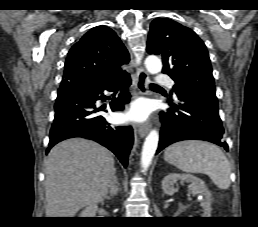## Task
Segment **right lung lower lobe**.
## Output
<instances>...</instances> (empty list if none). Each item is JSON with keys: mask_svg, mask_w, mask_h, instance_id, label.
Listing matches in <instances>:
<instances>
[{"mask_svg": "<svg viewBox=\"0 0 258 227\" xmlns=\"http://www.w3.org/2000/svg\"><path fill=\"white\" fill-rule=\"evenodd\" d=\"M130 84V76L124 72L109 81L86 80L59 90L47 152L62 140L83 137L107 147L126 167L133 144V130L129 126L111 127L103 116L97 114L100 109L95 107V102L105 101L103 91L121 88L118 98L110 106L112 111H122L130 99Z\"/></svg>", "mask_w": 258, "mask_h": 227, "instance_id": "obj_1", "label": "right lung lower lobe"}]
</instances>
